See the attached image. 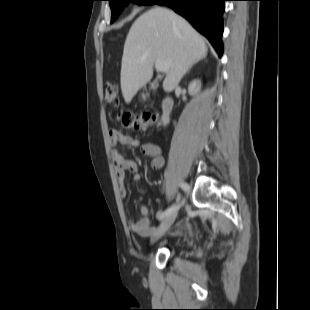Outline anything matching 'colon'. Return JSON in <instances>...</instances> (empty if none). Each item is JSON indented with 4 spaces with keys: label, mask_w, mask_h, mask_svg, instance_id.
I'll return each mask as SVG.
<instances>
[{
    "label": "colon",
    "mask_w": 310,
    "mask_h": 310,
    "mask_svg": "<svg viewBox=\"0 0 310 310\" xmlns=\"http://www.w3.org/2000/svg\"><path fill=\"white\" fill-rule=\"evenodd\" d=\"M104 100L109 105H118V88L115 84L107 82L104 84ZM157 119V115L154 113H142L132 114L128 112H122L118 115L120 124L126 128L134 131H143L148 126L153 124Z\"/></svg>",
    "instance_id": "obj_1"
}]
</instances>
